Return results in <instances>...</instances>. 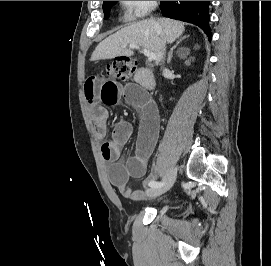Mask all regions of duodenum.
Here are the masks:
<instances>
[{"mask_svg": "<svg viewBox=\"0 0 271 266\" xmlns=\"http://www.w3.org/2000/svg\"><path fill=\"white\" fill-rule=\"evenodd\" d=\"M136 82L146 89H153L155 85L154 78L151 72L145 68L138 70L135 76Z\"/></svg>", "mask_w": 271, "mask_h": 266, "instance_id": "obj_1", "label": "duodenum"}]
</instances>
